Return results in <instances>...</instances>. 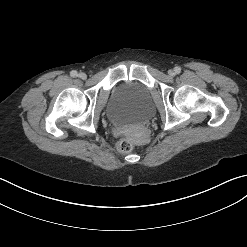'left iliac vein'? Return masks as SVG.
<instances>
[{"mask_svg":"<svg viewBox=\"0 0 247 247\" xmlns=\"http://www.w3.org/2000/svg\"><path fill=\"white\" fill-rule=\"evenodd\" d=\"M169 75H170V76H174L175 73H174L172 70H170V71H169Z\"/></svg>","mask_w":247,"mask_h":247,"instance_id":"obj_1","label":"left iliac vein"}]
</instances>
